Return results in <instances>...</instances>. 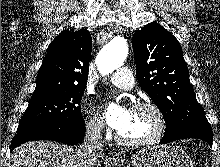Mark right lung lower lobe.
<instances>
[{
  "label": "right lung lower lobe",
  "instance_id": "right-lung-lower-lobe-1",
  "mask_svg": "<svg viewBox=\"0 0 220 167\" xmlns=\"http://www.w3.org/2000/svg\"><path fill=\"white\" fill-rule=\"evenodd\" d=\"M85 135V123L62 128L44 127L17 133L11 142V150L29 140H52L67 145L80 143Z\"/></svg>",
  "mask_w": 220,
  "mask_h": 167
}]
</instances>
